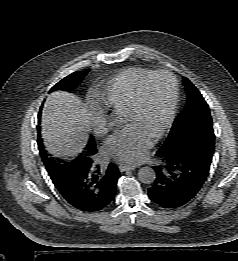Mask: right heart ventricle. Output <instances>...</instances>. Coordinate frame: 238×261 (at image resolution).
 Returning <instances> with one entry per match:
<instances>
[{
  "label": "right heart ventricle",
  "instance_id": "1",
  "mask_svg": "<svg viewBox=\"0 0 238 261\" xmlns=\"http://www.w3.org/2000/svg\"><path fill=\"white\" fill-rule=\"evenodd\" d=\"M152 70L143 67H131L111 79L97 94V102L103 108L122 115L130 107L136 89L144 77Z\"/></svg>",
  "mask_w": 238,
  "mask_h": 261
}]
</instances>
